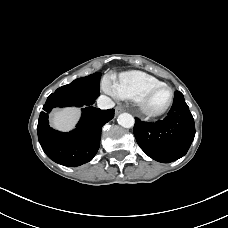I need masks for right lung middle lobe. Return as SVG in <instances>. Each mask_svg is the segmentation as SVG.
Wrapping results in <instances>:
<instances>
[{"label": "right lung middle lobe", "instance_id": "obj_1", "mask_svg": "<svg viewBox=\"0 0 228 228\" xmlns=\"http://www.w3.org/2000/svg\"><path fill=\"white\" fill-rule=\"evenodd\" d=\"M100 76L101 74L94 73L78 78L72 83L58 88L53 94L75 98L85 104H93L100 94Z\"/></svg>", "mask_w": 228, "mask_h": 228}]
</instances>
